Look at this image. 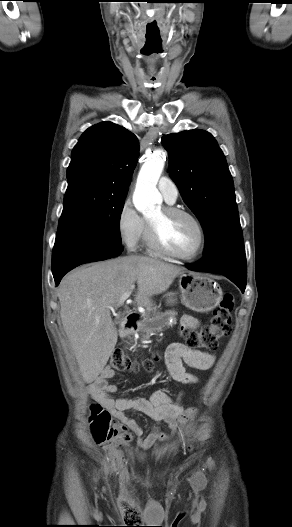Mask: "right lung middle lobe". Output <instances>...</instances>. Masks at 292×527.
I'll use <instances>...</instances> for the list:
<instances>
[{
    "label": "right lung middle lobe",
    "mask_w": 292,
    "mask_h": 527,
    "mask_svg": "<svg viewBox=\"0 0 292 527\" xmlns=\"http://www.w3.org/2000/svg\"><path fill=\"white\" fill-rule=\"evenodd\" d=\"M126 194L85 185L68 186L57 234H91L121 244L119 221Z\"/></svg>",
    "instance_id": "1"
}]
</instances>
